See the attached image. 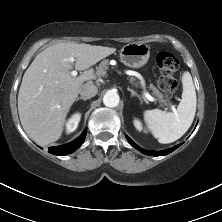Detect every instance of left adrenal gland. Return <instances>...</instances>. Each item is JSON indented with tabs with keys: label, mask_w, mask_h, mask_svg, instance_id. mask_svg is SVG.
<instances>
[{
	"label": "left adrenal gland",
	"mask_w": 222,
	"mask_h": 222,
	"mask_svg": "<svg viewBox=\"0 0 222 222\" xmlns=\"http://www.w3.org/2000/svg\"><path fill=\"white\" fill-rule=\"evenodd\" d=\"M127 90L131 92V96H136V97H138L139 100L142 102L141 96H140L136 91H134L133 89H130L129 87L127 88Z\"/></svg>",
	"instance_id": "a2214340"
}]
</instances>
